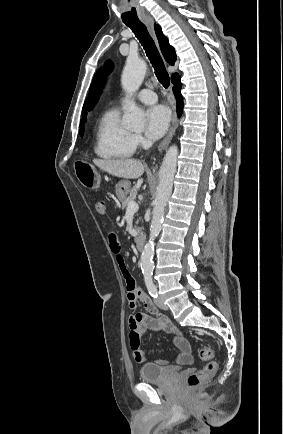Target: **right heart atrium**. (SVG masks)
<instances>
[{
	"mask_svg": "<svg viewBox=\"0 0 283 434\" xmlns=\"http://www.w3.org/2000/svg\"><path fill=\"white\" fill-rule=\"evenodd\" d=\"M133 142L135 147H144L147 145V141L140 134H133Z\"/></svg>",
	"mask_w": 283,
	"mask_h": 434,
	"instance_id": "1",
	"label": "right heart atrium"
}]
</instances>
